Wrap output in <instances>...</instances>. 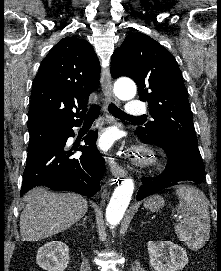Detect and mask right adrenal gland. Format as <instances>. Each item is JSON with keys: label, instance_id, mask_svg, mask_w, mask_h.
<instances>
[{"label": "right adrenal gland", "instance_id": "2a0ac1e0", "mask_svg": "<svg viewBox=\"0 0 221 271\" xmlns=\"http://www.w3.org/2000/svg\"><path fill=\"white\" fill-rule=\"evenodd\" d=\"M86 219H87V215H85V217H83L82 223H76V225H84V227H86V225H85Z\"/></svg>", "mask_w": 221, "mask_h": 271}]
</instances>
